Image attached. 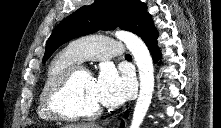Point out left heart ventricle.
<instances>
[{
    "mask_svg": "<svg viewBox=\"0 0 221 128\" xmlns=\"http://www.w3.org/2000/svg\"><path fill=\"white\" fill-rule=\"evenodd\" d=\"M63 105L74 112H89L101 106L88 72L81 71L76 75Z\"/></svg>",
    "mask_w": 221,
    "mask_h": 128,
    "instance_id": "b2bd125f",
    "label": "left heart ventricle"
}]
</instances>
